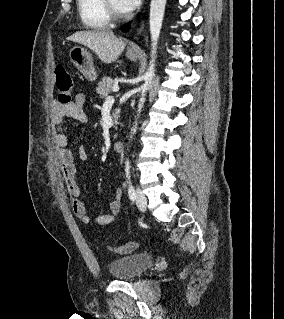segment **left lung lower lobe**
Segmentation results:
<instances>
[{
    "label": "left lung lower lobe",
    "mask_w": 284,
    "mask_h": 319,
    "mask_svg": "<svg viewBox=\"0 0 284 319\" xmlns=\"http://www.w3.org/2000/svg\"><path fill=\"white\" fill-rule=\"evenodd\" d=\"M130 25L127 24L125 26L122 27V31H127L129 29Z\"/></svg>",
    "instance_id": "1"
}]
</instances>
